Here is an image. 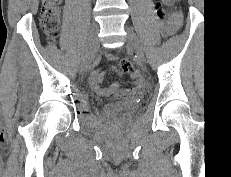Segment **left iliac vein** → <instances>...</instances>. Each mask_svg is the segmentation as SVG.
<instances>
[{"label":"left iliac vein","mask_w":231,"mask_h":177,"mask_svg":"<svg viewBox=\"0 0 231 177\" xmlns=\"http://www.w3.org/2000/svg\"><path fill=\"white\" fill-rule=\"evenodd\" d=\"M126 31H127V44L135 51L139 60L143 61L144 52L139 39L137 38V36L135 35V33L132 31L130 27L126 26Z\"/></svg>","instance_id":"obj_1"}]
</instances>
